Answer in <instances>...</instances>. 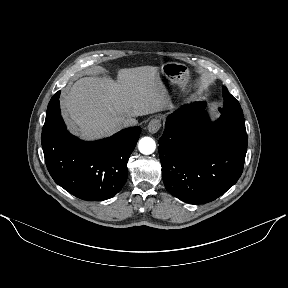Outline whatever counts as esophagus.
Instances as JSON below:
<instances>
[{
    "label": "esophagus",
    "instance_id": "1",
    "mask_svg": "<svg viewBox=\"0 0 288 288\" xmlns=\"http://www.w3.org/2000/svg\"><path fill=\"white\" fill-rule=\"evenodd\" d=\"M161 126H162L161 120H159L157 118H153L149 122L147 129L150 133L154 134L160 130Z\"/></svg>",
    "mask_w": 288,
    "mask_h": 288
}]
</instances>
